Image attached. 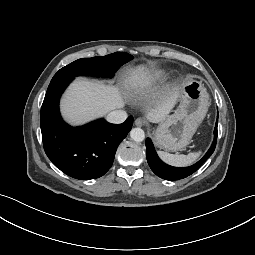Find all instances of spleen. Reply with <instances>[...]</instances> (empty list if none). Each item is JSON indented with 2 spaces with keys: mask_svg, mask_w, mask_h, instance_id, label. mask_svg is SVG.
<instances>
[{
  "mask_svg": "<svg viewBox=\"0 0 255 255\" xmlns=\"http://www.w3.org/2000/svg\"><path fill=\"white\" fill-rule=\"evenodd\" d=\"M200 154H201L200 151L191 152L188 155H184V154L177 155V154H170L164 151H158V155L164 162H166L169 165L177 166V167H184V166L191 165L198 159Z\"/></svg>",
  "mask_w": 255,
  "mask_h": 255,
  "instance_id": "spleen-1",
  "label": "spleen"
}]
</instances>
